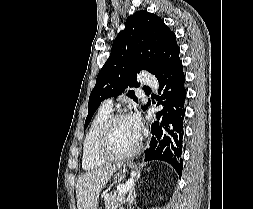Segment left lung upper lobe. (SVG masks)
Returning <instances> with one entry per match:
<instances>
[{"instance_id":"left-lung-upper-lobe-1","label":"left lung upper lobe","mask_w":253,"mask_h":209,"mask_svg":"<svg viewBox=\"0 0 253 209\" xmlns=\"http://www.w3.org/2000/svg\"><path fill=\"white\" fill-rule=\"evenodd\" d=\"M179 58L176 35L153 13L138 11L128 17L125 29L113 42L111 54L100 70L88 102L87 128L104 99L122 94L126 88L138 87L137 74L146 70L162 79ZM128 95L138 99L133 91ZM150 105L142 106L143 111Z\"/></svg>"}]
</instances>
